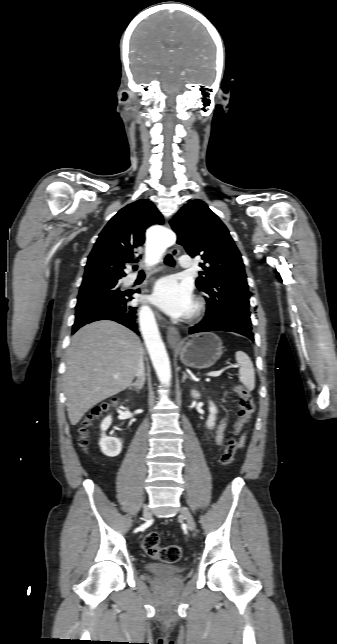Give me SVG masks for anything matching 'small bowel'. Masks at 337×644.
<instances>
[{
	"label": "small bowel",
	"mask_w": 337,
	"mask_h": 644,
	"mask_svg": "<svg viewBox=\"0 0 337 644\" xmlns=\"http://www.w3.org/2000/svg\"><path fill=\"white\" fill-rule=\"evenodd\" d=\"M227 420H228L227 418H223L217 427L215 441L218 445H221V446L224 444V434L227 426ZM244 440H245V437L242 436L239 442V447L243 446Z\"/></svg>",
	"instance_id": "c3829d8e"
}]
</instances>
